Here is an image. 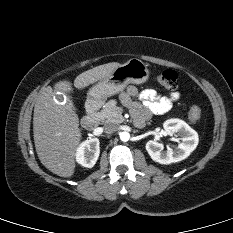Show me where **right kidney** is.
Segmentation results:
<instances>
[{
  "label": "right kidney",
  "mask_w": 233,
  "mask_h": 233,
  "mask_svg": "<svg viewBox=\"0 0 233 233\" xmlns=\"http://www.w3.org/2000/svg\"><path fill=\"white\" fill-rule=\"evenodd\" d=\"M99 145L100 142L97 138L82 142L76 152L77 162L87 168L93 167L100 154Z\"/></svg>",
  "instance_id": "ca27d5eb"
}]
</instances>
